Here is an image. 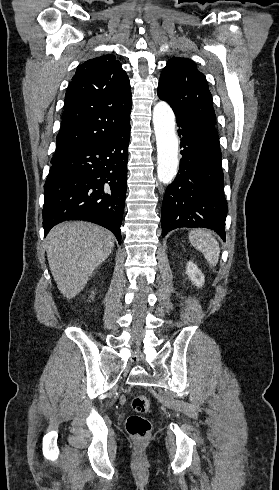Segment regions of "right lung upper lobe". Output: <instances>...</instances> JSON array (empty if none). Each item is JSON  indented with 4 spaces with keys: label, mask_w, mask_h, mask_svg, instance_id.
I'll return each instance as SVG.
<instances>
[{
    "label": "right lung upper lobe",
    "mask_w": 279,
    "mask_h": 490,
    "mask_svg": "<svg viewBox=\"0 0 279 490\" xmlns=\"http://www.w3.org/2000/svg\"><path fill=\"white\" fill-rule=\"evenodd\" d=\"M131 105L130 82L115 56L96 57L78 66L66 92L51 162L129 127Z\"/></svg>",
    "instance_id": "right-lung-upper-lobe-1"
}]
</instances>
